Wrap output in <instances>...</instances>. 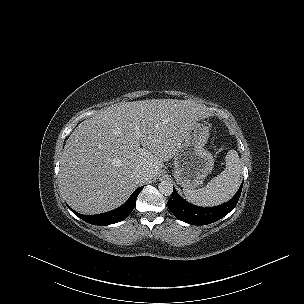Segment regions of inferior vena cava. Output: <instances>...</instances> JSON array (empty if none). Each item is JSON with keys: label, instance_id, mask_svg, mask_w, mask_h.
Returning <instances> with one entry per match:
<instances>
[{"label": "inferior vena cava", "instance_id": "inferior-vena-cava-1", "mask_svg": "<svg viewBox=\"0 0 304 304\" xmlns=\"http://www.w3.org/2000/svg\"><path fill=\"white\" fill-rule=\"evenodd\" d=\"M137 177L142 180L145 181L148 178V172L145 170H138L137 171Z\"/></svg>", "mask_w": 304, "mask_h": 304}]
</instances>
